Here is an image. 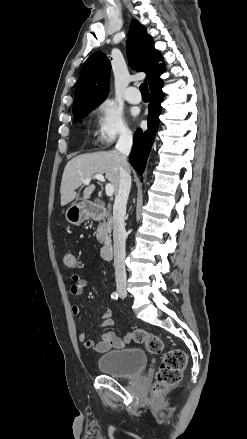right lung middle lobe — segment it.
I'll list each match as a JSON object with an SVG mask.
<instances>
[{
  "label": "right lung middle lobe",
  "instance_id": "obj_1",
  "mask_svg": "<svg viewBox=\"0 0 247 439\" xmlns=\"http://www.w3.org/2000/svg\"><path fill=\"white\" fill-rule=\"evenodd\" d=\"M93 109H89V110H85V111H82V112H80V113H78V114H75L74 115V117H75V122L77 121V120H81L82 118H84L85 116H87V114L89 113V112H91Z\"/></svg>",
  "mask_w": 247,
  "mask_h": 439
}]
</instances>
